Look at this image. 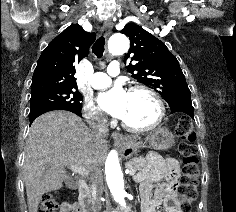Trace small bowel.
<instances>
[{
    "mask_svg": "<svg viewBox=\"0 0 236 212\" xmlns=\"http://www.w3.org/2000/svg\"><path fill=\"white\" fill-rule=\"evenodd\" d=\"M180 175L179 163L174 158L154 159L139 175L142 212H157L163 204L166 212H183L174 194ZM159 186L154 189V186ZM60 212H81L76 203L64 202Z\"/></svg>",
    "mask_w": 236,
    "mask_h": 212,
    "instance_id": "c3829d8e",
    "label": "small bowel"
}]
</instances>
